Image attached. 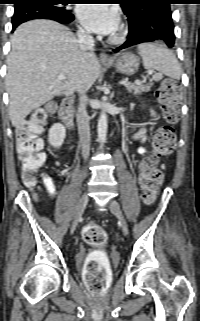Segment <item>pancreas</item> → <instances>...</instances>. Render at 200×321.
I'll return each instance as SVG.
<instances>
[{"label":"pancreas","instance_id":"cf45deb5","mask_svg":"<svg viewBox=\"0 0 200 321\" xmlns=\"http://www.w3.org/2000/svg\"><path fill=\"white\" fill-rule=\"evenodd\" d=\"M155 79V78H154ZM152 85V81H150L148 84H145L144 82L141 83H127L125 87L129 92L134 91L135 93H142V92H148L150 90V87Z\"/></svg>","mask_w":200,"mask_h":321}]
</instances>
